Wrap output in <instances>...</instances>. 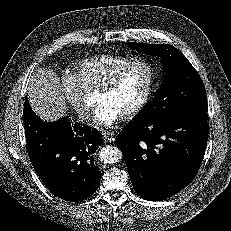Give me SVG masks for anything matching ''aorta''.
<instances>
[{
    "mask_svg": "<svg viewBox=\"0 0 231 231\" xmlns=\"http://www.w3.org/2000/svg\"><path fill=\"white\" fill-rule=\"evenodd\" d=\"M99 158L104 163L113 164L118 162L122 158V152L119 148L108 145L100 150Z\"/></svg>",
    "mask_w": 231,
    "mask_h": 231,
    "instance_id": "aorta-1",
    "label": "aorta"
}]
</instances>
